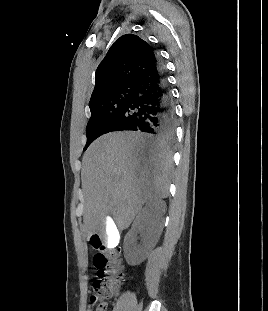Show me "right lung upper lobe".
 <instances>
[{
  "mask_svg": "<svg viewBox=\"0 0 268 311\" xmlns=\"http://www.w3.org/2000/svg\"><path fill=\"white\" fill-rule=\"evenodd\" d=\"M151 46L134 34L121 36L109 49L95 73V88L89 104L136 82L156 63Z\"/></svg>",
  "mask_w": 268,
  "mask_h": 311,
  "instance_id": "1",
  "label": "right lung upper lobe"
}]
</instances>
